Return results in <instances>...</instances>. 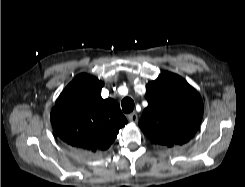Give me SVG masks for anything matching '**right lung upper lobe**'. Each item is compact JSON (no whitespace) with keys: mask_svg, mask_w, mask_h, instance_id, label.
Returning a JSON list of instances; mask_svg holds the SVG:
<instances>
[{"mask_svg":"<svg viewBox=\"0 0 245 187\" xmlns=\"http://www.w3.org/2000/svg\"><path fill=\"white\" fill-rule=\"evenodd\" d=\"M102 88V81L80 74L58 97L50 119L56 135L70 147L105 151L127 123L115 100L102 99Z\"/></svg>","mask_w":245,"mask_h":187,"instance_id":"right-lung-upper-lobe-1","label":"right lung upper lobe"}]
</instances>
